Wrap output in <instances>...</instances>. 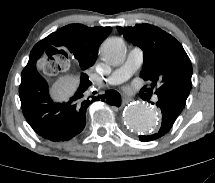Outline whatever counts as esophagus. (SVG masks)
Listing matches in <instances>:
<instances>
[{
  "label": "esophagus",
  "mask_w": 215,
  "mask_h": 183,
  "mask_svg": "<svg viewBox=\"0 0 215 183\" xmlns=\"http://www.w3.org/2000/svg\"><path fill=\"white\" fill-rule=\"evenodd\" d=\"M131 101H132V98H129L127 96H123V99H122L123 104H128Z\"/></svg>",
  "instance_id": "1"
}]
</instances>
